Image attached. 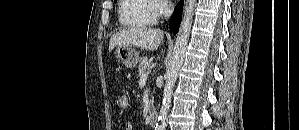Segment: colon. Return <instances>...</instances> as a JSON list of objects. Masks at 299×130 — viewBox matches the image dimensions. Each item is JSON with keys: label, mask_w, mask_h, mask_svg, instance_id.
Returning <instances> with one entry per match:
<instances>
[{"label": "colon", "mask_w": 299, "mask_h": 130, "mask_svg": "<svg viewBox=\"0 0 299 130\" xmlns=\"http://www.w3.org/2000/svg\"><path fill=\"white\" fill-rule=\"evenodd\" d=\"M129 96L127 94H121L118 97V105L122 109H126L129 106Z\"/></svg>", "instance_id": "5ec220e1"}]
</instances>
